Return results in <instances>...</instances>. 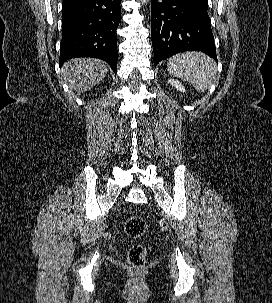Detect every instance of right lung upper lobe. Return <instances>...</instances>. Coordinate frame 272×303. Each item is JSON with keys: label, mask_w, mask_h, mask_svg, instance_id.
Wrapping results in <instances>:
<instances>
[{"label": "right lung upper lobe", "mask_w": 272, "mask_h": 303, "mask_svg": "<svg viewBox=\"0 0 272 303\" xmlns=\"http://www.w3.org/2000/svg\"><path fill=\"white\" fill-rule=\"evenodd\" d=\"M77 1H80V0H63L62 6H66V5L75 3Z\"/></svg>", "instance_id": "1"}]
</instances>
